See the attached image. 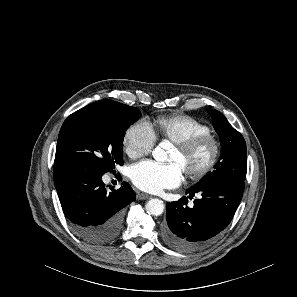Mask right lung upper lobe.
Returning a JSON list of instances; mask_svg holds the SVG:
<instances>
[{"label":"right lung upper lobe","mask_w":297,"mask_h":297,"mask_svg":"<svg viewBox=\"0 0 297 297\" xmlns=\"http://www.w3.org/2000/svg\"><path fill=\"white\" fill-rule=\"evenodd\" d=\"M118 103L119 102L112 101V100H101V101L91 103L78 111L91 110V111H97L105 114H117Z\"/></svg>","instance_id":"cb5924a9"}]
</instances>
